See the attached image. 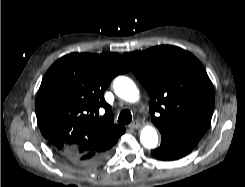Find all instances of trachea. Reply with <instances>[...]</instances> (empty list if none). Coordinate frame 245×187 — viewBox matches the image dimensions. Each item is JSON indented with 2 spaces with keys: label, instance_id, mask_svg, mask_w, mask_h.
Listing matches in <instances>:
<instances>
[{
  "label": "trachea",
  "instance_id": "obj_1",
  "mask_svg": "<svg viewBox=\"0 0 245 187\" xmlns=\"http://www.w3.org/2000/svg\"><path fill=\"white\" fill-rule=\"evenodd\" d=\"M132 121V114L128 109H124L120 112L118 117V123L129 124Z\"/></svg>",
  "mask_w": 245,
  "mask_h": 187
}]
</instances>
